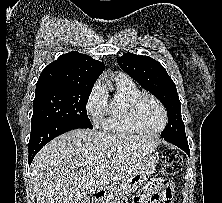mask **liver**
Masks as SVG:
<instances>
[{"mask_svg":"<svg viewBox=\"0 0 222 203\" xmlns=\"http://www.w3.org/2000/svg\"><path fill=\"white\" fill-rule=\"evenodd\" d=\"M159 138L106 134L89 129L64 133L46 144L31 165L37 203H81L110 183L122 182L159 145Z\"/></svg>","mask_w":222,"mask_h":203,"instance_id":"1","label":"liver"}]
</instances>
